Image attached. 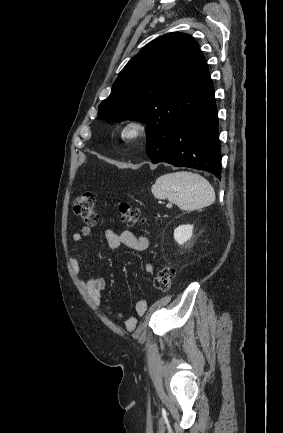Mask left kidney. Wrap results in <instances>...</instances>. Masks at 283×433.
I'll return each instance as SVG.
<instances>
[{"label": "left kidney", "instance_id": "obj_1", "mask_svg": "<svg viewBox=\"0 0 283 433\" xmlns=\"http://www.w3.org/2000/svg\"><path fill=\"white\" fill-rule=\"evenodd\" d=\"M193 234V225H181L174 230V239L179 245H183L191 239Z\"/></svg>", "mask_w": 283, "mask_h": 433}]
</instances>
